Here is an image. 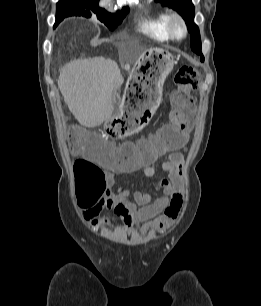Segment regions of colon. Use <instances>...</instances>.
Returning <instances> with one entry per match:
<instances>
[{"instance_id":"1","label":"colon","mask_w":261,"mask_h":306,"mask_svg":"<svg viewBox=\"0 0 261 306\" xmlns=\"http://www.w3.org/2000/svg\"><path fill=\"white\" fill-rule=\"evenodd\" d=\"M174 81L176 88L171 95V121L161 126L159 132L151 139L137 146L126 145L119 153H113L93 140L84 138L81 129H76L70 136L71 149L83 154V157L78 158L73 164L77 189L83 200L103 198L106 192L104 171L95 161L111 168L131 167L138 163H150L158 155L181 145L192 123L195 107L192 91L199 83V73L193 66L184 65L176 72ZM126 130L125 125L113 122L101 136L107 140L119 139ZM80 206L84 207V204Z\"/></svg>"}]
</instances>
